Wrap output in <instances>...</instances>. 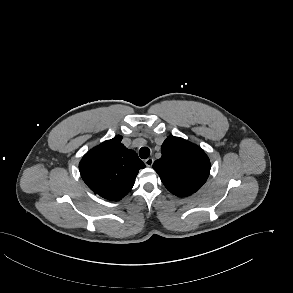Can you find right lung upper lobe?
<instances>
[{"instance_id": "cb5924a9", "label": "right lung upper lobe", "mask_w": 293, "mask_h": 293, "mask_svg": "<svg viewBox=\"0 0 293 293\" xmlns=\"http://www.w3.org/2000/svg\"><path fill=\"white\" fill-rule=\"evenodd\" d=\"M120 135L86 153L80 164L88 187L108 200H121L132 189L139 169L145 167L135 151L121 143Z\"/></svg>"}]
</instances>
